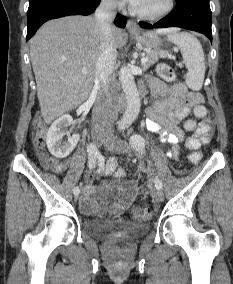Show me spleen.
Listing matches in <instances>:
<instances>
[{
  "label": "spleen",
  "instance_id": "3e777b00",
  "mask_svg": "<svg viewBox=\"0 0 233 284\" xmlns=\"http://www.w3.org/2000/svg\"><path fill=\"white\" fill-rule=\"evenodd\" d=\"M159 33H167L168 40L174 43L183 57L187 68L186 84L193 91L202 88L205 76V56L201 43L198 39L187 32H180L179 29L159 30Z\"/></svg>",
  "mask_w": 233,
  "mask_h": 284
}]
</instances>
